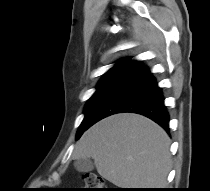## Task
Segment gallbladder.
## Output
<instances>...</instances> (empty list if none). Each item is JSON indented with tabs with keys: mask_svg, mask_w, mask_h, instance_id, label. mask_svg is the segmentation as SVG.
<instances>
[{
	"mask_svg": "<svg viewBox=\"0 0 210 191\" xmlns=\"http://www.w3.org/2000/svg\"><path fill=\"white\" fill-rule=\"evenodd\" d=\"M74 167L78 172H90L94 169V163L89 158H80L74 161Z\"/></svg>",
	"mask_w": 210,
	"mask_h": 191,
	"instance_id": "bac80fb5",
	"label": "gallbladder"
}]
</instances>
